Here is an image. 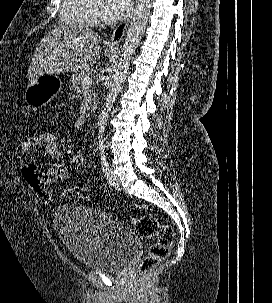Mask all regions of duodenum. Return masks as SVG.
<instances>
[{
	"mask_svg": "<svg viewBox=\"0 0 272 303\" xmlns=\"http://www.w3.org/2000/svg\"><path fill=\"white\" fill-rule=\"evenodd\" d=\"M96 104V101L91 102L90 105L86 108L83 116L85 117L88 113L94 111V109L96 108Z\"/></svg>",
	"mask_w": 272,
	"mask_h": 303,
	"instance_id": "410a0bca",
	"label": "duodenum"
}]
</instances>
